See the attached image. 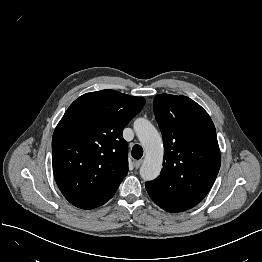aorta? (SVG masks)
Segmentation results:
<instances>
[{"label": "aorta", "mask_w": 262, "mask_h": 262, "mask_svg": "<svg viewBox=\"0 0 262 262\" xmlns=\"http://www.w3.org/2000/svg\"><path fill=\"white\" fill-rule=\"evenodd\" d=\"M134 131L145 150V159L140 167V175L145 181L156 179L162 169L163 144L156 128L144 118L134 122Z\"/></svg>", "instance_id": "aorta-1"}]
</instances>
